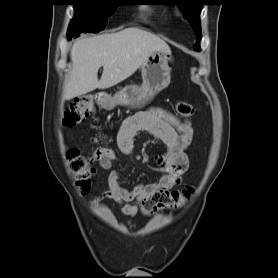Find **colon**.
<instances>
[{
	"label": "colon",
	"instance_id": "obj_1",
	"mask_svg": "<svg viewBox=\"0 0 278 278\" xmlns=\"http://www.w3.org/2000/svg\"><path fill=\"white\" fill-rule=\"evenodd\" d=\"M94 102L90 96H82L69 104L63 114L65 126H76L82 124L89 114L94 111ZM177 113L185 120L191 118L195 112L192 104L181 101L176 105ZM187 129L178 138V147L187 151L193 141V131L186 122ZM115 158L114 150L110 148H98L93 157L84 156L77 149L67 151L69 167L75 176L76 185L82 192L90 187L91 179L95 174L92 166L93 159ZM193 193L191 187L183 190L164 191L158 190L148 195L142 203V212L151 215L166 209H177L185 204Z\"/></svg>",
	"mask_w": 278,
	"mask_h": 278
}]
</instances>
